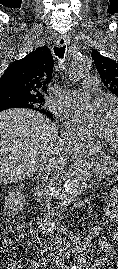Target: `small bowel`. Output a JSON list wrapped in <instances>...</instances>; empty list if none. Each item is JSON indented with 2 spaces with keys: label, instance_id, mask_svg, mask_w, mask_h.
I'll return each mask as SVG.
<instances>
[{
  "label": "small bowel",
  "instance_id": "c3829d8e",
  "mask_svg": "<svg viewBox=\"0 0 118 269\" xmlns=\"http://www.w3.org/2000/svg\"><path fill=\"white\" fill-rule=\"evenodd\" d=\"M112 205L114 208V217H116L118 220V190L112 196ZM111 237L114 241H118V230L112 232ZM98 246L107 252L110 259H115V257L113 256L112 247L108 242L100 240L98 242Z\"/></svg>",
  "mask_w": 118,
  "mask_h": 269
}]
</instances>
